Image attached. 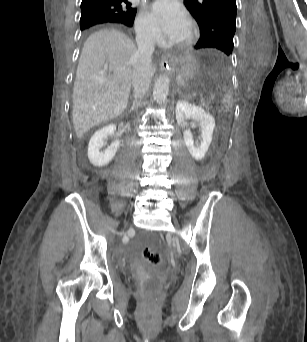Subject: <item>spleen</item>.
Instances as JSON below:
<instances>
[{"label": "spleen", "instance_id": "3e777b00", "mask_svg": "<svg viewBox=\"0 0 307 342\" xmlns=\"http://www.w3.org/2000/svg\"><path fill=\"white\" fill-rule=\"evenodd\" d=\"M231 92H226L224 94V98H222V103L220 104L221 110H230L231 109Z\"/></svg>", "mask_w": 307, "mask_h": 342}]
</instances>
